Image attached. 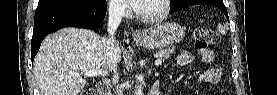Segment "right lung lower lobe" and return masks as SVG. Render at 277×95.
<instances>
[{
    "instance_id": "right-lung-lower-lobe-1",
    "label": "right lung lower lobe",
    "mask_w": 277,
    "mask_h": 95,
    "mask_svg": "<svg viewBox=\"0 0 277 95\" xmlns=\"http://www.w3.org/2000/svg\"><path fill=\"white\" fill-rule=\"evenodd\" d=\"M106 14V1L91 6H56L37 9L31 42L32 62L44 37L64 27L97 28Z\"/></svg>"
}]
</instances>
